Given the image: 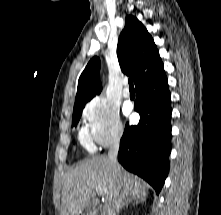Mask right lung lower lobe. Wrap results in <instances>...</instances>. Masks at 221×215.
Segmentation results:
<instances>
[{
    "label": "right lung lower lobe",
    "instance_id": "obj_1",
    "mask_svg": "<svg viewBox=\"0 0 221 215\" xmlns=\"http://www.w3.org/2000/svg\"><path fill=\"white\" fill-rule=\"evenodd\" d=\"M137 126L126 124L118 161L159 194L169 171L171 100L164 70L136 86Z\"/></svg>",
    "mask_w": 221,
    "mask_h": 215
}]
</instances>
